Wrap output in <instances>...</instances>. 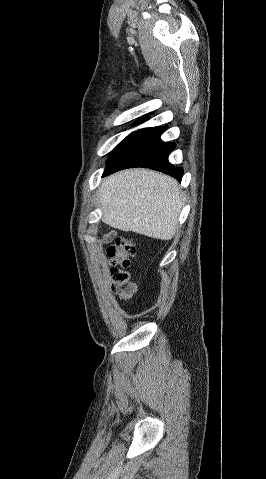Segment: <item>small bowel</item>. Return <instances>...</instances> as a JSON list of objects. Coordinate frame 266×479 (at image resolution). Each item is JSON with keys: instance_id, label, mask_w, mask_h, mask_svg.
I'll list each match as a JSON object with an SVG mask.
<instances>
[{"instance_id": "small-bowel-1", "label": "small bowel", "mask_w": 266, "mask_h": 479, "mask_svg": "<svg viewBox=\"0 0 266 479\" xmlns=\"http://www.w3.org/2000/svg\"><path fill=\"white\" fill-rule=\"evenodd\" d=\"M136 292L137 286L135 284H130L128 289L119 291V296L122 301L128 302L133 298Z\"/></svg>"}]
</instances>
